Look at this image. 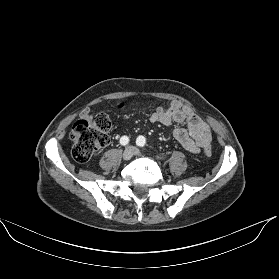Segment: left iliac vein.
I'll list each match as a JSON object with an SVG mask.
<instances>
[{
  "instance_id": "left-iliac-vein-1",
  "label": "left iliac vein",
  "mask_w": 279,
  "mask_h": 279,
  "mask_svg": "<svg viewBox=\"0 0 279 279\" xmlns=\"http://www.w3.org/2000/svg\"><path fill=\"white\" fill-rule=\"evenodd\" d=\"M133 148H134V155H140V151L135 147H133Z\"/></svg>"
}]
</instances>
